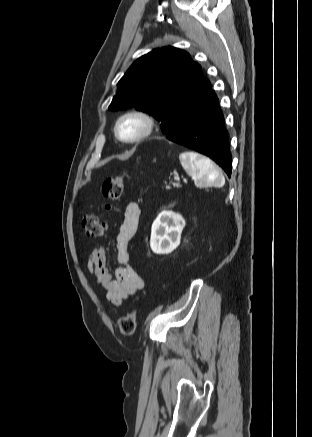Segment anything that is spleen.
Masks as SVG:
<instances>
[{
  "label": "spleen",
  "mask_w": 312,
  "mask_h": 437,
  "mask_svg": "<svg viewBox=\"0 0 312 437\" xmlns=\"http://www.w3.org/2000/svg\"><path fill=\"white\" fill-rule=\"evenodd\" d=\"M179 159L183 169L194 179L195 183L217 188L225 184L222 171L209 158L189 151L181 153Z\"/></svg>",
  "instance_id": "obj_1"
}]
</instances>
